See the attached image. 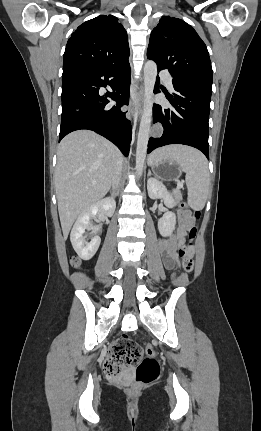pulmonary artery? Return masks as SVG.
<instances>
[{
    "label": "pulmonary artery",
    "instance_id": "pulmonary-artery-1",
    "mask_svg": "<svg viewBox=\"0 0 261 431\" xmlns=\"http://www.w3.org/2000/svg\"><path fill=\"white\" fill-rule=\"evenodd\" d=\"M159 75H160V77L164 80V82L166 83L167 87H168L169 89H173V84H172V77H171V75H170L167 71H165V70L161 71V72L159 73Z\"/></svg>",
    "mask_w": 261,
    "mask_h": 431
}]
</instances>
